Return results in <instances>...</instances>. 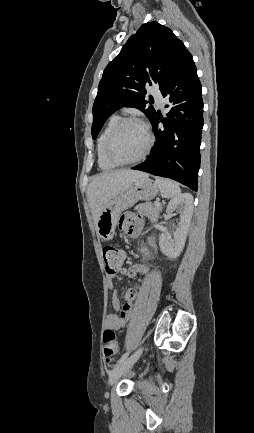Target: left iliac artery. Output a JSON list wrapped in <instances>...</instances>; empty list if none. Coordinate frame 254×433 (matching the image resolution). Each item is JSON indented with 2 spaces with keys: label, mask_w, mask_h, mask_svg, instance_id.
<instances>
[{
  "label": "left iliac artery",
  "mask_w": 254,
  "mask_h": 433,
  "mask_svg": "<svg viewBox=\"0 0 254 433\" xmlns=\"http://www.w3.org/2000/svg\"><path fill=\"white\" fill-rule=\"evenodd\" d=\"M129 356V351L124 353L121 358L117 361V364L115 366H117L118 364H120L121 362H123L127 357Z\"/></svg>",
  "instance_id": "44dca946"
}]
</instances>
